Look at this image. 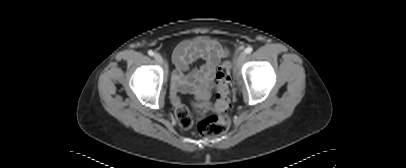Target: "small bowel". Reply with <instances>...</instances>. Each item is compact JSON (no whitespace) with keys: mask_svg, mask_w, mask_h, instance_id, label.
Returning a JSON list of instances; mask_svg holds the SVG:
<instances>
[{"mask_svg":"<svg viewBox=\"0 0 406 168\" xmlns=\"http://www.w3.org/2000/svg\"><path fill=\"white\" fill-rule=\"evenodd\" d=\"M226 55V50L219 43L208 38H202L196 42L187 41L178 45L173 52V61L176 66L173 85L174 103L177 105L180 103L176 92L183 90L188 84L195 90H199L200 85L206 89H213L216 68ZM199 59L204 63L189 75H185L189 65Z\"/></svg>","mask_w":406,"mask_h":168,"instance_id":"1","label":"small bowel"}]
</instances>
